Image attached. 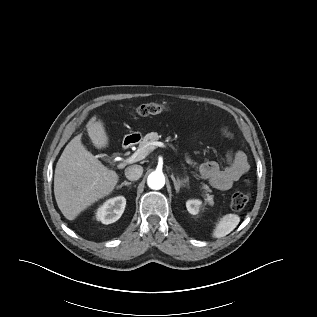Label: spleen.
<instances>
[{
	"mask_svg": "<svg viewBox=\"0 0 317 317\" xmlns=\"http://www.w3.org/2000/svg\"><path fill=\"white\" fill-rule=\"evenodd\" d=\"M240 217L237 214H226L222 216L216 223L212 236L214 238H222L231 233L239 224Z\"/></svg>",
	"mask_w": 317,
	"mask_h": 317,
	"instance_id": "spleen-1",
	"label": "spleen"
}]
</instances>
